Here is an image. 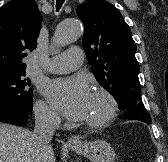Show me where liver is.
Returning a JSON list of instances; mask_svg holds the SVG:
<instances>
[{
	"label": "liver",
	"mask_w": 168,
	"mask_h": 162,
	"mask_svg": "<svg viewBox=\"0 0 168 162\" xmlns=\"http://www.w3.org/2000/svg\"><path fill=\"white\" fill-rule=\"evenodd\" d=\"M0 162H55V157L51 145H35L29 130L0 123Z\"/></svg>",
	"instance_id": "obj_1"
}]
</instances>
